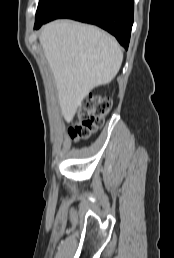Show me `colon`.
Returning <instances> with one entry per match:
<instances>
[{"mask_svg":"<svg viewBox=\"0 0 174 258\" xmlns=\"http://www.w3.org/2000/svg\"><path fill=\"white\" fill-rule=\"evenodd\" d=\"M112 107L109 98L89 95L86 96L77 108L73 118V126L69 135L74 141L85 140L100 128Z\"/></svg>","mask_w":174,"mask_h":258,"instance_id":"5ec220e1","label":"colon"}]
</instances>
